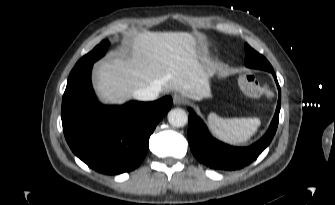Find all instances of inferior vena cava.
I'll return each mask as SVG.
<instances>
[{"label":"inferior vena cava","instance_id":"inferior-vena-cava-1","mask_svg":"<svg viewBox=\"0 0 335 205\" xmlns=\"http://www.w3.org/2000/svg\"><path fill=\"white\" fill-rule=\"evenodd\" d=\"M159 92L160 88L158 86H149L135 91L133 95L138 100L151 101L158 97Z\"/></svg>","mask_w":335,"mask_h":205}]
</instances>
